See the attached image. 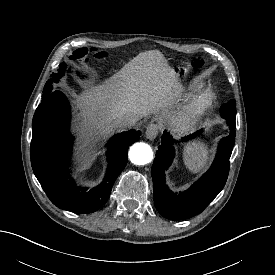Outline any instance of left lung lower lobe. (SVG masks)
I'll return each mask as SVG.
<instances>
[{
    "label": "left lung lower lobe",
    "mask_w": 275,
    "mask_h": 275,
    "mask_svg": "<svg viewBox=\"0 0 275 275\" xmlns=\"http://www.w3.org/2000/svg\"><path fill=\"white\" fill-rule=\"evenodd\" d=\"M230 133L219 144L211 168L187 191L174 193L165 184V171L174 158V140L166 131L162 135L152 165L154 203L158 212L170 220H184L201 213L224 187L230 167V156L235 143V123L227 121ZM200 132L182 139L187 141Z\"/></svg>",
    "instance_id": "obj_1"
}]
</instances>
